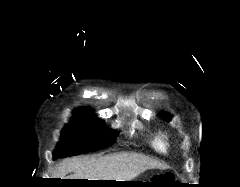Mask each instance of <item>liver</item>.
<instances>
[{
	"instance_id": "1",
	"label": "liver",
	"mask_w": 240,
	"mask_h": 187,
	"mask_svg": "<svg viewBox=\"0 0 240 187\" xmlns=\"http://www.w3.org/2000/svg\"><path fill=\"white\" fill-rule=\"evenodd\" d=\"M166 168L159 161L133 152L114 153L99 158L73 157L59 163L54 178L131 181L148 169ZM73 172L70 178H65Z\"/></svg>"
}]
</instances>
